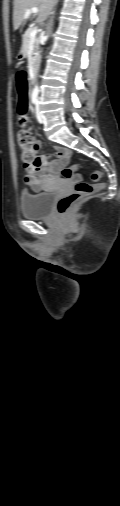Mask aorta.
I'll return each instance as SVG.
<instances>
[{
  "mask_svg": "<svg viewBox=\"0 0 120 506\" xmlns=\"http://www.w3.org/2000/svg\"><path fill=\"white\" fill-rule=\"evenodd\" d=\"M38 93H39V87L35 86L34 89H33V94L34 95H38Z\"/></svg>",
  "mask_w": 120,
  "mask_h": 506,
  "instance_id": "obj_1",
  "label": "aorta"
}]
</instances>
